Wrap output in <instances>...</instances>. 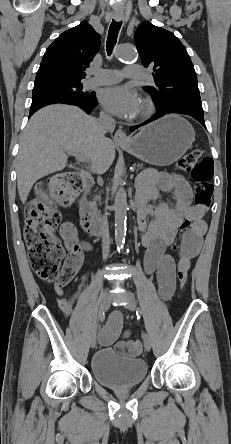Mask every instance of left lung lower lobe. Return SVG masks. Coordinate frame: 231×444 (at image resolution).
Instances as JSON below:
<instances>
[{"label":"left lung lower lobe","mask_w":231,"mask_h":444,"mask_svg":"<svg viewBox=\"0 0 231 444\" xmlns=\"http://www.w3.org/2000/svg\"><path fill=\"white\" fill-rule=\"evenodd\" d=\"M168 113H179V114L189 115V116L195 118L198 122H200V123L204 126V128H206V127H205V124H204V115H203V112L195 111V110H185V109H180V110H177V111H158L157 115L154 116V117H152V118L149 119L148 121H146V122H144V123H142V124H140V125H136V126H132V127H130V131H134V130H136L137 128H139V127H141V126H143V125H145V124H148V123H150V122H152V121L158 119L159 117H161V116H163V115H165V114H168Z\"/></svg>","instance_id":"left-lung-lower-lobe-1"}]
</instances>
